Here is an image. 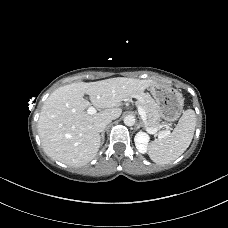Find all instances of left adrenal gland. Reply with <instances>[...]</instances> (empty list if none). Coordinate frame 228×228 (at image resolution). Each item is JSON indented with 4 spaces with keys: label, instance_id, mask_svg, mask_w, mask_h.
<instances>
[{
    "label": "left adrenal gland",
    "instance_id": "1",
    "mask_svg": "<svg viewBox=\"0 0 228 228\" xmlns=\"http://www.w3.org/2000/svg\"><path fill=\"white\" fill-rule=\"evenodd\" d=\"M140 127H144V124H143V122L141 120H140V122L137 125V128H140Z\"/></svg>",
    "mask_w": 228,
    "mask_h": 228
}]
</instances>
